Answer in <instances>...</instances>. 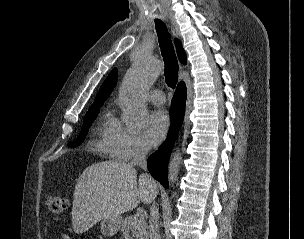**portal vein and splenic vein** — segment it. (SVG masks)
Segmentation results:
<instances>
[{
    "mask_svg": "<svg viewBox=\"0 0 304 239\" xmlns=\"http://www.w3.org/2000/svg\"><path fill=\"white\" fill-rule=\"evenodd\" d=\"M140 216H143V215H142V214H140V213H138V214H137V217H140Z\"/></svg>",
    "mask_w": 304,
    "mask_h": 239,
    "instance_id": "18ae733b",
    "label": "portal vein and splenic vein"
}]
</instances>
